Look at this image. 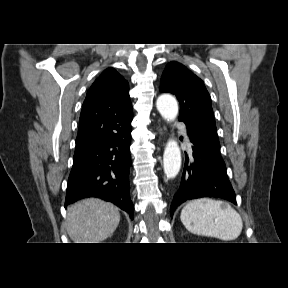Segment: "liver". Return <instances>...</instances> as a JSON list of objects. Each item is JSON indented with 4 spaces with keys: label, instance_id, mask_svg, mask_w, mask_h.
Here are the masks:
<instances>
[{
    "label": "liver",
    "instance_id": "1",
    "mask_svg": "<svg viewBox=\"0 0 288 288\" xmlns=\"http://www.w3.org/2000/svg\"><path fill=\"white\" fill-rule=\"evenodd\" d=\"M120 221L119 209L97 198L68 207L67 233L74 243H100L110 237Z\"/></svg>",
    "mask_w": 288,
    "mask_h": 288
}]
</instances>
